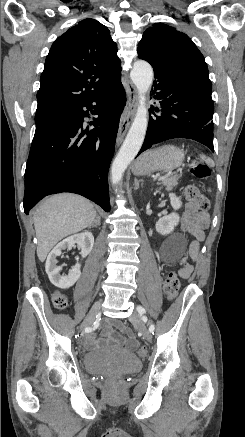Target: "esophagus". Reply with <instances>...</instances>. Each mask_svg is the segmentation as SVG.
<instances>
[{
	"label": "esophagus",
	"instance_id": "obj_1",
	"mask_svg": "<svg viewBox=\"0 0 245 437\" xmlns=\"http://www.w3.org/2000/svg\"><path fill=\"white\" fill-rule=\"evenodd\" d=\"M126 92H127V104L120 118L118 133L116 137L117 146L123 140V137L132 122L135 107H136V102H137V89L135 88V86H133L132 84H128L126 87Z\"/></svg>",
	"mask_w": 245,
	"mask_h": 437
}]
</instances>
